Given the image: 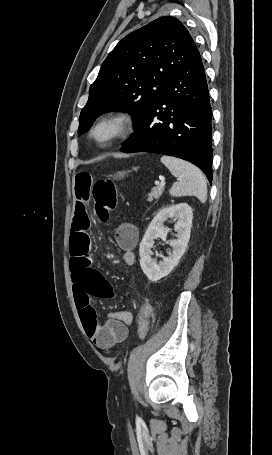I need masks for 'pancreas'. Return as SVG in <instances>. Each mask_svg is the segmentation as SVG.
Masks as SVG:
<instances>
[{"mask_svg": "<svg viewBox=\"0 0 272 455\" xmlns=\"http://www.w3.org/2000/svg\"><path fill=\"white\" fill-rule=\"evenodd\" d=\"M164 187H153L148 194L147 201L152 202L154 199H158L163 193Z\"/></svg>", "mask_w": 272, "mask_h": 455, "instance_id": "1", "label": "pancreas"}]
</instances>
